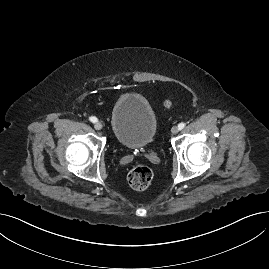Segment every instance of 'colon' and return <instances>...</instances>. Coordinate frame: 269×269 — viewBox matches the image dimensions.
I'll list each match as a JSON object with an SVG mask.
<instances>
[{
    "label": "colon",
    "mask_w": 269,
    "mask_h": 269,
    "mask_svg": "<svg viewBox=\"0 0 269 269\" xmlns=\"http://www.w3.org/2000/svg\"><path fill=\"white\" fill-rule=\"evenodd\" d=\"M163 105L167 109L173 107V103L169 98L164 99ZM153 179L152 169L145 164H139L133 167L128 174V182L135 190H144L149 187Z\"/></svg>",
    "instance_id": "colon-1"
}]
</instances>
